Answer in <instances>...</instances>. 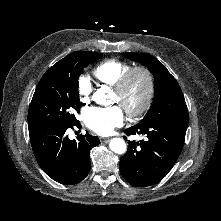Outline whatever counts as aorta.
<instances>
[{"label": "aorta", "instance_id": "762f6f07", "mask_svg": "<svg viewBox=\"0 0 221 221\" xmlns=\"http://www.w3.org/2000/svg\"><path fill=\"white\" fill-rule=\"evenodd\" d=\"M105 93H106L105 89H103V88L98 89L93 94V100H95L99 104H105V99H104ZM109 147L116 154H124L127 150L126 143L121 138L111 139V141L109 143Z\"/></svg>", "mask_w": 221, "mask_h": 221}]
</instances>
